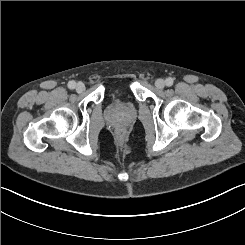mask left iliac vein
I'll list each match as a JSON object with an SVG mask.
<instances>
[{
    "label": "left iliac vein",
    "instance_id": "left-iliac-vein-1",
    "mask_svg": "<svg viewBox=\"0 0 245 245\" xmlns=\"http://www.w3.org/2000/svg\"><path fill=\"white\" fill-rule=\"evenodd\" d=\"M155 86L158 89H163L165 87V81L163 79H157L155 82Z\"/></svg>",
    "mask_w": 245,
    "mask_h": 245
}]
</instances>
